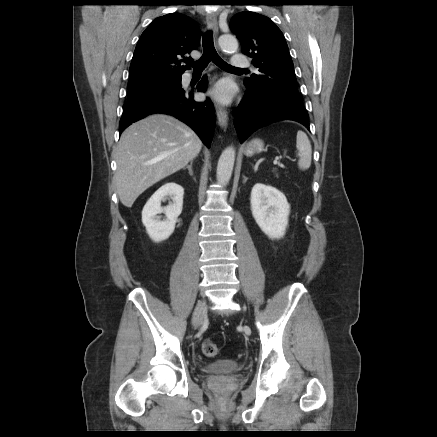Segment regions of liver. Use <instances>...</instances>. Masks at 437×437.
Segmentation results:
<instances>
[{
  "label": "liver",
  "mask_w": 437,
  "mask_h": 437,
  "mask_svg": "<svg viewBox=\"0 0 437 437\" xmlns=\"http://www.w3.org/2000/svg\"><path fill=\"white\" fill-rule=\"evenodd\" d=\"M201 148L195 132L172 116L154 114L130 125L115 150L121 203L131 208L146 189L184 168Z\"/></svg>",
  "instance_id": "liver-1"
}]
</instances>
